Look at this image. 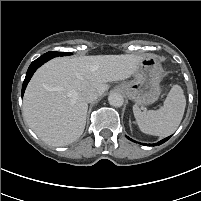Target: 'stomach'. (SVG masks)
Returning a JSON list of instances; mask_svg holds the SVG:
<instances>
[{
    "mask_svg": "<svg viewBox=\"0 0 201 201\" xmlns=\"http://www.w3.org/2000/svg\"><path fill=\"white\" fill-rule=\"evenodd\" d=\"M162 72L156 56H145L135 71L133 80L122 83L119 89L136 105H150L159 98Z\"/></svg>",
    "mask_w": 201,
    "mask_h": 201,
    "instance_id": "0dacf381",
    "label": "stomach"
}]
</instances>
